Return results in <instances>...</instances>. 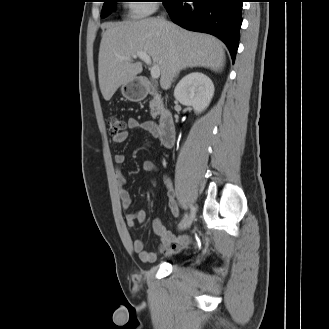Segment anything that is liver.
Returning <instances> with one entry per match:
<instances>
[{"label":"liver","mask_w":329,"mask_h":329,"mask_svg":"<svg viewBox=\"0 0 329 329\" xmlns=\"http://www.w3.org/2000/svg\"><path fill=\"white\" fill-rule=\"evenodd\" d=\"M137 52L148 54L159 66L163 89L170 88L177 66L218 72L225 63L223 44L210 35L190 32L158 18L109 23L102 34L98 58L99 86L106 101L142 72V63L131 60Z\"/></svg>","instance_id":"obj_1"}]
</instances>
